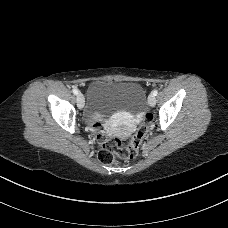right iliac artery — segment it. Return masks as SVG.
I'll return each mask as SVG.
<instances>
[{
    "mask_svg": "<svg viewBox=\"0 0 228 228\" xmlns=\"http://www.w3.org/2000/svg\"><path fill=\"white\" fill-rule=\"evenodd\" d=\"M73 93H74L75 95H78V94H79L78 89L74 88V89H73Z\"/></svg>",
    "mask_w": 228,
    "mask_h": 228,
    "instance_id": "1",
    "label": "right iliac artery"
}]
</instances>
